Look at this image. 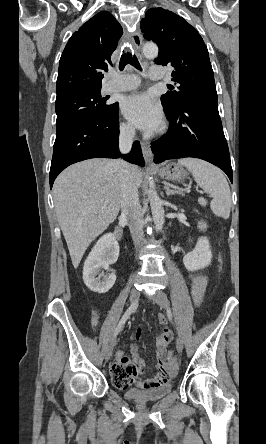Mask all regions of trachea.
Segmentation results:
<instances>
[{"label":"trachea","mask_w":266,"mask_h":444,"mask_svg":"<svg viewBox=\"0 0 266 444\" xmlns=\"http://www.w3.org/2000/svg\"><path fill=\"white\" fill-rule=\"evenodd\" d=\"M127 64L132 65L133 67H135L138 70H142L141 65L137 59V57L134 55H132V52L129 48H126L125 50H123V54L120 58V62H119V69L122 71L125 66Z\"/></svg>","instance_id":"trachea-1"}]
</instances>
